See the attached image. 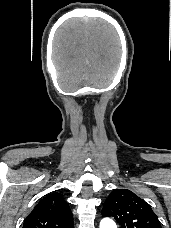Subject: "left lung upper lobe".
Listing matches in <instances>:
<instances>
[{"label":"left lung upper lobe","mask_w":171,"mask_h":228,"mask_svg":"<svg viewBox=\"0 0 171 228\" xmlns=\"http://www.w3.org/2000/svg\"><path fill=\"white\" fill-rule=\"evenodd\" d=\"M103 217H113L122 228H161L150 206L128 189H115L103 205Z\"/></svg>","instance_id":"5c2ea615"}]
</instances>
